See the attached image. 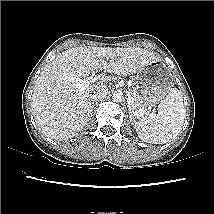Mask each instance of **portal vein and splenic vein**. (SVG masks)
I'll list each match as a JSON object with an SVG mask.
<instances>
[{
  "mask_svg": "<svg viewBox=\"0 0 214 214\" xmlns=\"http://www.w3.org/2000/svg\"><path fill=\"white\" fill-rule=\"evenodd\" d=\"M66 78H68L66 76ZM100 78L99 77H89L87 79H81V78H76V77H72L71 81L72 83L76 86V88L80 89V90H85L90 84L98 81ZM127 102L128 105H132L134 103V98L132 97L131 94L128 95L127 98ZM146 113V109L142 108L140 110H138L137 112H135L136 116H143Z\"/></svg>",
  "mask_w": 214,
  "mask_h": 214,
  "instance_id": "18ae733b",
  "label": "portal vein and splenic vein"
}]
</instances>
